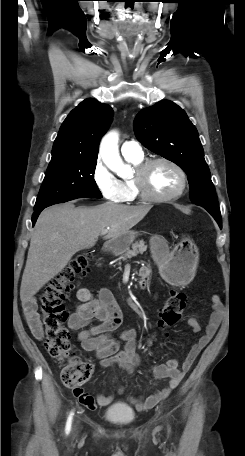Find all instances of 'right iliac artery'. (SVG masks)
I'll return each mask as SVG.
<instances>
[{"mask_svg": "<svg viewBox=\"0 0 245 456\" xmlns=\"http://www.w3.org/2000/svg\"><path fill=\"white\" fill-rule=\"evenodd\" d=\"M72 415L73 413L70 414L68 420H67V425H66V432L69 433L70 431V426H71V421H72Z\"/></svg>", "mask_w": 245, "mask_h": 456, "instance_id": "right-iliac-artery-1", "label": "right iliac artery"}]
</instances>
